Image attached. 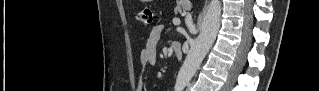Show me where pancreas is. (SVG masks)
<instances>
[{
	"mask_svg": "<svg viewBox=\"0 0 319 91\" xmlns=\"http://www.w3.org/2000/svg\"><path fill=\"white\" fill-rule=\"evenodd\" d=\"M188 10H189V5L178 4L176 7V12H179V13L187 12Z\"/></svg>",
	"mask_w": 319,
	"mask_h": 91,
	"instance_id": "cf45deb5",
	"label": "pancreas"
}]
</instances>
